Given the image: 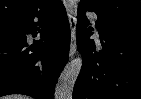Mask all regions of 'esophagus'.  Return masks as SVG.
<instances>
[{
	"instance_id": "34e87169",
	"label": "esophagus",
	"mask_w": 141,
	"mask_h": 99,
	"mask_svg": "<svg viewBox=\"0 0 141 99\" xmlns=\"http://www.w3.org/2000/svg\"><path fill=\"white\" fill-rule=\"evenodd\" d=\"M68 20L71 30V41L69 56L72 58L76 52V25H77V4L75 0H66L65 3Z\"/></svg>"
}]
</instances>
